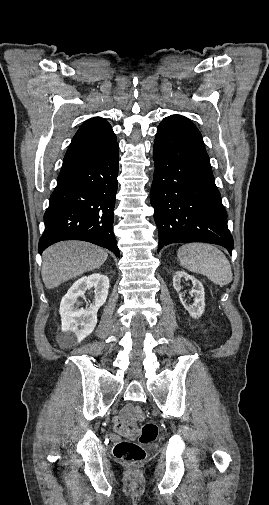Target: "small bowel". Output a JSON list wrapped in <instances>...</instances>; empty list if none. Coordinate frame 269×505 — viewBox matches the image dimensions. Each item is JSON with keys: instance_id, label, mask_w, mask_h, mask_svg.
<instances>
[{"instance_id": "1", "label": "small bowel", "mask_w": 269, "mask_h": 505, "mask_svg": "<svg viewBox=\"0 0 269 505\" xmlns=\"http://www.w3.org/2000/svg\"><path fill=\"white\" fill-rule=\"evenodd\" d=\"M134 409L131 404H127L119 417L113 419V426L115 431L126 437H133L138 433V428L134 425Z\"/></svg>"}]
</instances>
